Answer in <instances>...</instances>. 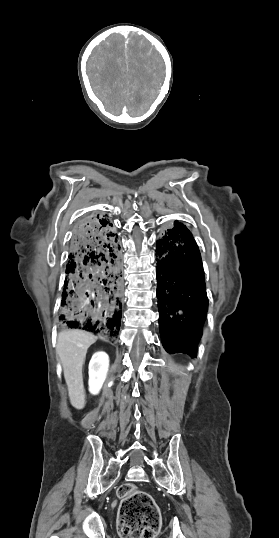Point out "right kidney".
<instances>
[{
  "mask_svg": "<svg viewBox=\"0 0 279 538\" xmlns=\"http://www.w3.org/2000/svg\"><path fill=\"white\" fill-rule=\"evenodd\" d=\"M109 368V356L105 352H96L89 362V392L98 394L102 388Z\"/></svg>",
  "mask_w": 279,
  "mask_h": 538,
  "instance_id": "ca27d5eb",
  "label": "right kidney"
}]
</instances>
